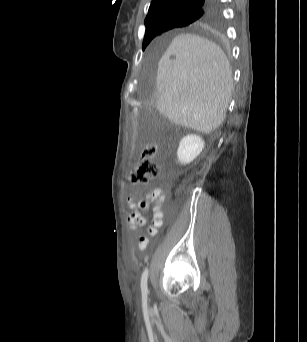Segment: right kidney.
I'll use <instances>...</instances> for the list:
<instances>
[{
  "label": "right kidney",
  "mask_w": 307,
  "mask_h": 342,
  "mask_svg": "<svg viewBox=\"0 0 307 342\" xmlns=\"http://www.w3.org/2000/svg\"><path fill=\"white\" fill-rule=\"evenodd\" d=\"M204 146L205 142H203L200 136H196V134L184 136L177 150V158L180 164H182V166H186V164L193 162V160L201 154Z\"/></svg>",
  "instance_id": "right-kidney-1"
}]
</instances>
